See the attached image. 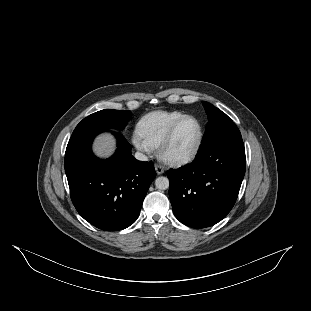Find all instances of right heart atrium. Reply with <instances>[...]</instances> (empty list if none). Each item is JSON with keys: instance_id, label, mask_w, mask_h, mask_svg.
I'll return each instance as SVG.
<instances>
[{"instance_id": "right-heart-atrium-1", "label": "right heart atrium", "mask_w": 311, "mask_h": 311, "mask_svg": "<svg viewBox=\"0 0 311 311\" xmlns=\"http://www.w3.org/2000/svg\"><path fill=\"white\" fill-rule=\"evenodd\" d=\"M133 146L140 152L151 155L153 153V148L139 139L137 136L132 137Z\"/></svg>"}]
</instances>
